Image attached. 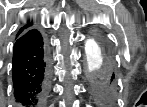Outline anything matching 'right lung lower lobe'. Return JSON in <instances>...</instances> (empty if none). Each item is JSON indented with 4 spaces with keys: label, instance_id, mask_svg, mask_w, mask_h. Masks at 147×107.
<instances>
[{
    "label": "right lung lower lobe",
    "instance_id": "right-lung-lower-lobe-1",
    "mask_svg": "<svg viewBox=\"0 0 147 107\" xmlns=\"http://www.w3.org/2000/svg\"><path fill=\"white\" fill-rule=\"evenodd\" d=\"M12 79L17 107H43L48 93L49 67L41 33L31 29L13 47Z\"/></svg>",
    "mask_w": 147,
    "mask_h": 107
}]
</instances>
